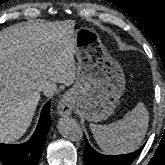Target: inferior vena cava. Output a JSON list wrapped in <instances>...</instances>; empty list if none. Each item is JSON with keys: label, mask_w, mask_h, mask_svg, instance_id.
<instances>
[{"label": "inferior vena cava", "mask_w": 165, "mask_h": 165, "mask_svg": "<svg viewBox=\"0 0 165 165\" xmlns=\"http://www.w3.org/2000/svg\"><path fill=\"white\" fill-rule=\"evenodd\" d=\"M46 96H52L56 91V84L51 81L43 83L42 90Z\"/></svg>", "instance_id": "obj_1"}]
</instances>
